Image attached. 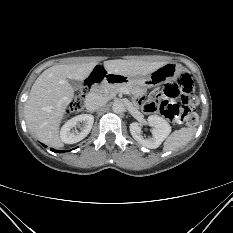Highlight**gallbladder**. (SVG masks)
Segmentation results:
<instances>
[{
    "mask_svg": "<svg viewBox=\"0 0 233 233\" xmlns=\"http://www.w3.org/2000/svg\"><path fill=\"white\" fill-rule=\"evenodd\" d=\"M69 83L74 91H77L82 88V83L76 80H69Z\"/></svg>",
    "mask_w": 233,
    "mask_h": 233,
    "instance_id": "bac80fb5",
    "label": "gallbladder"
}]
</instances>
